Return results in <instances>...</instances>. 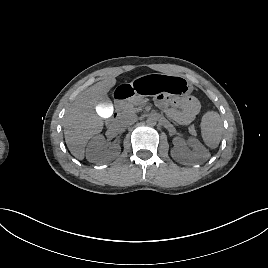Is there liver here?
I'll return each mask as SVG.
<instances>
[{"label": "liver", "mask_w": 268, "mask_h": 268, "mask_svg": "<svg viewBox=\"0 0 268 268\" xmlns=\"http://www.w3.org/2000/svg\"><path fill=\"white\" fill-rule=\"evenodd\" d=\"M115 84L116 79L111 76L87 88L77 96L65 116V142L79 160L84 159L88 140L103 129V119L95 109Z\"/></svg>", "instance_id": "liver-1"}]
</instances>
